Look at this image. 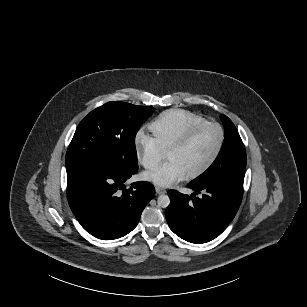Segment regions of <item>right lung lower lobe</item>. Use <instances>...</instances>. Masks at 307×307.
Returning a JSON list of instances; mask_svg holds the SVG:
<instances>
[{
  "instance_id": "obj_1",
  "label": "right lung lower lobe",
  "mask_w": 307,
  "mask_h": 307,
  "mask_svg": "<svg viewBox=\"0 0 307 307\" xmlns=\"http://www.w3.org/2000/svg\"><path fill=\"white\" fill-rule=\"evenodd\" d=\"M135 172L105 165L80 164L67 170V198L76 219L96 238L112 240L131 232L155 194L149 182L123 183ZM124 189L122 195L117 192Z\"/></svg>"
}]
</instances>
